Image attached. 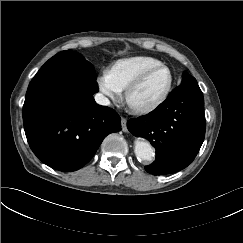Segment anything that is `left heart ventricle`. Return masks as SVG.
Masks as SVG:
<instances>
[{"instance_id": "b2bd125f", "label": "left heart ventricle", "mask_w": 243, "mask_h": 243, "mask_svg": "<svg viewBox=\"0 0 243 243\" xmlns=\"http://www.w3.org/2000/svg\"><path fill=\"white\" fill-rule=\"evenodd\" d=\"M169 74L165 69L152 72L143 84L133 93L131 101L135 105H144L157 99L165 90Z\"/></svg>"}]
</instances>
